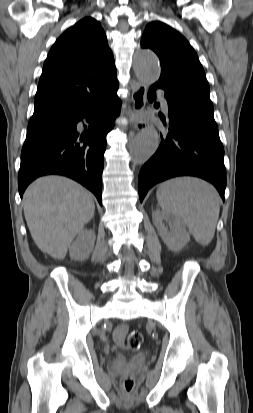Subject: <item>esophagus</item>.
I'll return each mask as SVG.
<instances>
[{
	"mask_svg": "<svg viewBox=\"0 0 253 413\" xmlns=\"http://www.w3.org/2000/svg\"><path fill=\"white\" fill-rule=\"evenodd\" d=\"M146 92V85L140 81L136 83V86L132 92L133 110L131 114V121L135 129L138 131L146 130L149 127V122L142 117L146 107Z\"/></svg>",
	"mask_w": 253,
	"mask_h": 413,
	"instance_id": "esophagus-1",
	"label": "esophagus"
}]
</instances>
